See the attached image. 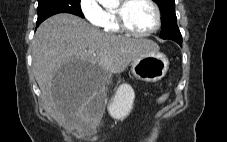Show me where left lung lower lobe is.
<instances>
[{
    "label": "left lung lower lobe",
    "instance_id": "1",
    "mask_svg": "<svg viewBox=\"0 0 227 142\" xmlns=\"http://www.w3.org/2000/svg\"><path fill=\"white\" fill-rule=\"evenodd\" d=\"M176 42V41H175ZM180 46H182V42H177Z\"/></svg>",
    "mask_w": 227,
    "mask_h": 142
}]
</instances>
